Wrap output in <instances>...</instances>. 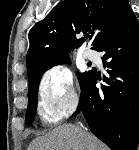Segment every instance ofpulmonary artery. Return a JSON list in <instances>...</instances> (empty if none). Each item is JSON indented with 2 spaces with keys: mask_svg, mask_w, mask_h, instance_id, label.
<instances>
[{
  "mask_svg": "<svg viewBox=\"0 0 139 150\" xmlns=\"http://www.w3.org/2000/svg\"><path fill=\"white\" fill-rule=\"evenodd\" d=\"M83 57L89 60H94L96 58V54L94 51L90 50V49H86L83 52Z\"/></svg>",
  "mask_w": 139,
  "mask_h": 150,
  "instance_id": "obj_1",
  "label": "pulmonary artery"
}]
</instances>
